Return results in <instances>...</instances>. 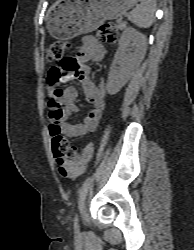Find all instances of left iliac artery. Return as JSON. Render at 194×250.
<instances>
[{"instance_id": "1", "label": "left iliac artery", "mask_w": 194, "mask_h": 250, "mask_svg": "<svg viewBox=\"0 0 194 250\" xmlns=\"http://www.w3.org/2000/svg\"><path fill=\"white\" fill-rule=\"evenodd\" d=\"M78 222H79L78 214H76L75 218H74V230H75L76 234H79V232H80L79 223Z\"/></svg>"}]
</instances>
